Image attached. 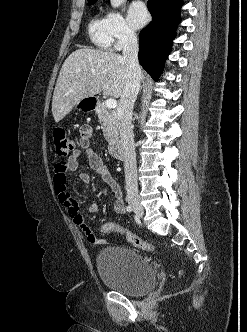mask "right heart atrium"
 <instances>
[{"label":"right heart atrium","mask_w":247,"mask_h":332,"mask_svg":"<svg viewBox=\"0 0 247 332\" xmlns=\"http://www.w3.org/2000/svg\"><path fill=\"white\" fill-rule=\"evenodd\" d=\"M107 17L115 48L120 49L135 40V30L120 12L110 11Z\"/></svg>","instance_id":"right-heart-atrium-1"}]
</instances>
